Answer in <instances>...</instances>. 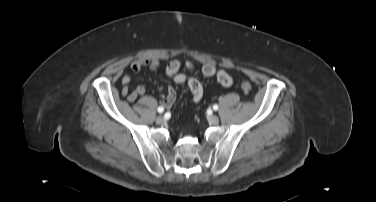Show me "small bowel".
Here are the masks:
<instances>
[{
	"label": "small bowel",
	"instance_id": "c3829d8e",
	"mask_svg": "<svg viewBox=\"0 0 376 202\" xmlns=\"http://www.w3.org/2000/svg\"><path fill=\"white\" fill-rule=\"evenodd\" d=\"M160 62L157 59H139L131 63L130 68L133 72H139L142 69L156 70L159 68ZM182 68L192 70L193 65L189 62H181L179 60L170 61L166 66V74L177 84H187L190 92L193 96L195 103L199 102L203 97V87L201 83L181 71ZM203 74L207 77H216L218 82L223 86H230L232 84V78L229 74L223 70L218 69L214 64L207 63L203 66ZM131 81V75L126 72L122 75L121 83L123 88L121 89V96L125 97L129 102H134L139 96L145 93V86L139 85L135 89L129 88ZM176 100V91L172 85H169L165 94L163 105L170 107Z\"/></svg>",
	"mask_w": 376,
	"mask_h": 202
}]
</instances>
